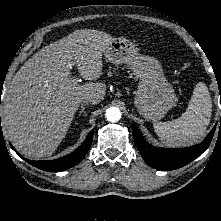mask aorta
<instances>
[{
	"label": "aorta",
	"instance_id": "obj_1",
	"mask_svg": "<svg viewBox=\"0 0 221 221\" xmlns=\"http://www.w3.org/2000/svg\"><path fill=\"white\" fill-rule=\"evenodd\" d=\"M106 118L109 122H117L121 118V112L117 107H110L106 110Z\"/></svg>",
	"mask_w": 221,
	"mask_h": 221
}]
</instances>
